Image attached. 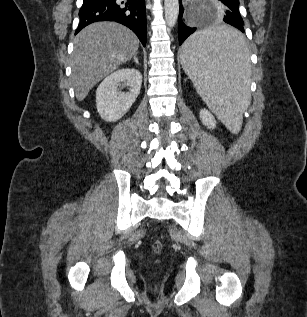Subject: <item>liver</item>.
Masks as SVG:
<instances>
[{
	"instance_id": "obj_1",
	"label": "liver",
	"mask_w": 307,
	"mask_h": 317,
	"mask_svg": "<svg viewBox=\"0 0 307 317\" xmlns=\"http://www.w3.org/2000/svg\"><path fill=\"white\" fill-rule=\"evenodd\" d=\"M138 47L137 36L118 23L96 22L81 30L71 56L77 100H84L94 85L135 56Z\"/></svg>"
}]
</instances>
